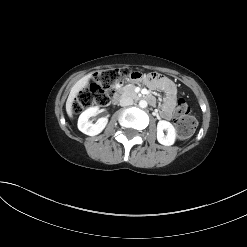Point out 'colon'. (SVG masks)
Returning <instances> with one entry per match:
<instances>
[{
	"label": "colon",
	"mask_w": 247,
	"mask_h": 247,
	"mask_svg": "<svg viewBox=\"0 0 247 247\" xmlns=\"http://www.w3.org/2000/svg\"><path fill=\"white\" fill-rule=\"evenodd\" d=\"M127 69H105L94 74L92 82L83 88L72 103L74 113H80L92 106L109 104L117 84L126 80ZM174 122L178 137L187 139L193 135L197 122L191 115L189 105L180 99L176 105Z\"/></svg>",
	"instance_id": "5ec220e1"
}]
</instances>
